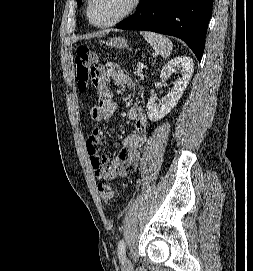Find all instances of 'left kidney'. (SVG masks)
Listing matches in <instances>:
<instances>
[{
    "mask_svg": "<svg viewBox=\"0 0 253 271\" xmlns=\"http://www.w3.org/2000/svg\"><path fill=\"white\" fill-rule=\"evenodd\" d=\"M181 70V77L173 83V88L162 97L157 103V97L152 96L147 103V115L151 121L161 120L178 103L182 97L194 71V63L190 57L179 56L169 61L162 69L160 78L166 80L169 73L174 70Z\"/></svg>",
    "mask_w": 253,
    "mask_h": 271,
    "instance_id": "5707ae66",
    "label": "left kidney"
}]
</instances>
